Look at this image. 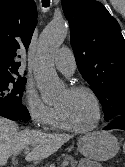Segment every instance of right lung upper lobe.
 <instances>
[{
    "mask_svg": "<svg viewBox=\"0 0 125 167\" xmlns=\"http://www.w3.org/2000/svg\"><path fill=\"white\" fill-rule=\"evenodd\" d=\"M37 10L34 0H0V76L19 75V51L29 47Z\"/></svg>",
    "mask_w": 125,
    "mask_h": 167,
    "instance_id": "cb5924a9",
    "label": "right lung upper lobe"
}]
</instances>
